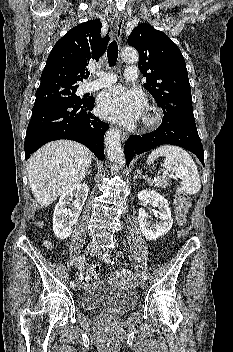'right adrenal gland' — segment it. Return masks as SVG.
<instances>
[{
    "mask_svg": "<svg viewBox=\"0 0 233 352\" xmlns=\"http://www.w3.org/2000/svg\"><path fill=\"white\" fill-rule=\"evenodd\" d=\"M87 174H91V169L87 172Z\"/></svg>",
    "mask_w": 233,
    "mask_h": 352,
    "instance_id": "obj_1",
    "label": "right adrenal gland"
}]
</instances>
